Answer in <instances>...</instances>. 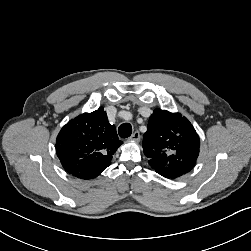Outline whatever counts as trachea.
<instances>
[{
    "label": "trachea",
    "instance_id": "1",
    "mask_svg": "<svg viewBox=\"0 0 251 251\" xmlns=\"http://www.w3.org/2000/svg\"><path fill=\"white\" fill-rule=\"evenodd\" d=\"M118 133L121 138H128L132 133V126L129 123H123L119 126Z\"/></svg>",
    "mask_w": 251,
    "mask_h": 251
}]
</instances>
